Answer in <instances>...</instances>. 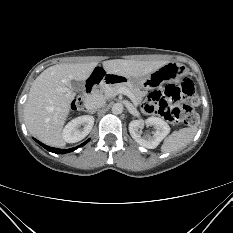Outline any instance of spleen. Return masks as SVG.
<instances>
[{
    "mask_svg": "<svg viewBox=\"0 0 233 233\" xmlns=\"http://www.w3.org/2000/svg\"><path fill=\"white\" fill-rule=\"evenodd\" d=\"M197 130L196 127H190L173 132L164 140L161 151L163 153H169L185 148L192 141Z\"/></svg>",
    "mask_w": 233,
    "mask_h": 233,
    "instance_id": "obj_1",
    "label": "spleen"
}]
</instances>
